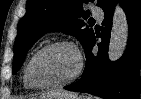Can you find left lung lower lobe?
I'll return each mask as SVG.
<instances>
[{"label":"left lung lower lobe","mask_w":141,"mask_h":99,"mask_svg":"<svg viewBox=\"0 0 141 99\" xmlns=\"http://www.w3.org/2000/svg\"><path fill=\"white\" fill-rule=\"evenodd\" d=\"M114 2L103 10L102 41L99 51L93 55L92 48L96 42L95 35L85 48L86 66L83 75L77 82L64 88L105 99H138L141 87L139 66L141 64V0H120L126 12L129 36L124 55L116 62L108 60V45L114 12Z\"/></svg>","instance_id":"left-lung-lower-lobe-1"}]
</instances>
